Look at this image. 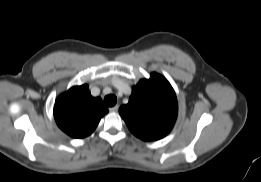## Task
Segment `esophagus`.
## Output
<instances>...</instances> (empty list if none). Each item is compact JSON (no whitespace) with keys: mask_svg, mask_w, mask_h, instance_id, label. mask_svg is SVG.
I'll return each mask as SVG.
<instances>
[{"mask_svg":"<svg viewBox=\"0 0 261 182\" xmlns=\"http://www.w3.org/2000/svg\"><path fill=\"white\" fill-rule=\"evenodd\" d=\"M118 108H119V106H118V105H115V106L111 107L109 110H110L111 112H116V111L118 110Z\"/></svg>","mask_w":261,"mask_h":182,"instance_id":"esophagus-1","label":"esophagus"}]
</instances>
